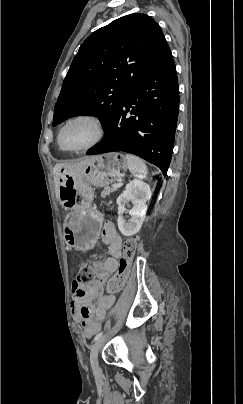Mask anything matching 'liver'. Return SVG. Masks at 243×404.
<instances>
[{"mask_svg":"<svg viewBox=\"0 0 243 404\" xmlns=\"http://www.w3.org/2000/svg\"><path fill=\"white\" fill-rule=\"evenodd\" d=\"M66 166H67V164H56V166H54V168H53L54 184H55V194H56L57 200H59V186H58V174H59V170H61V168H66Z\"/></svg>","mask_w":243,"mask_h":404,"instance_id":"1","label":"liver"}]
</instances>
